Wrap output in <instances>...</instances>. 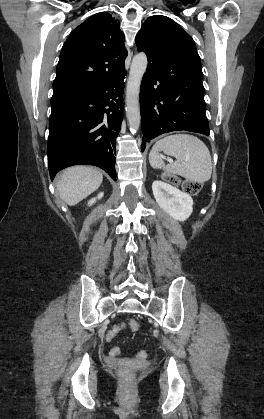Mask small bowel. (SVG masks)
<instances>
[{"instance_id": "obj_1", "label": "small bowel", "mask_w": 264, "mask_h": 419, "mask_svg": "<svg viewBox=\"0 0 264 419\" xmlns=\"http://www.w3.org/2000/svg\"><path fill=\"white\" fill-rule=\"evenodd\" d=\"M121 330V326H119V325H115L109 332H108V334H107V339L108 340H111L112 338H114L118 333H119V331ZM120 353V349L118 348V347H113L111 350H110V355L111 356H117L118 354Z\"/></svg>"}]
</instances>
